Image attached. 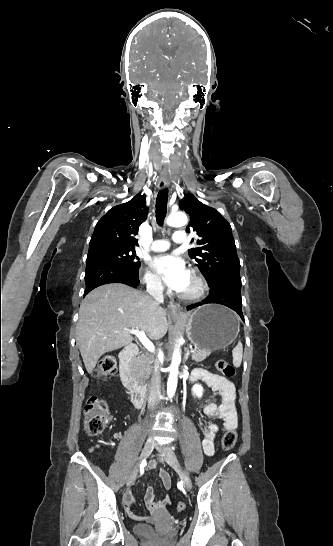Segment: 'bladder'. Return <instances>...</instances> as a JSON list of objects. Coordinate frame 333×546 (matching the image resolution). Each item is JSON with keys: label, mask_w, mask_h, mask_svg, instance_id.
Instances as JSON below:
<instances>
[{"label": "bladder", "mask_w": 333, "mask_h": 546, "mask_svg": "<svg viewBox=\"0 0 333 546\" xmlns=\"http://www.w3.org/2000/svg\"><path fill=\"white\" fill-rule=\"evenodd\" d=\"M134 531L136 534L141 536H152L157 535V531L155 528L150 524H137L134 526Z\"/></svg>", "instance_id": "bladder-1"}]
</instances>
